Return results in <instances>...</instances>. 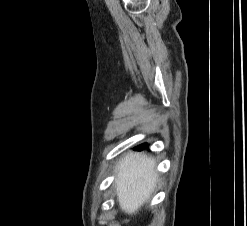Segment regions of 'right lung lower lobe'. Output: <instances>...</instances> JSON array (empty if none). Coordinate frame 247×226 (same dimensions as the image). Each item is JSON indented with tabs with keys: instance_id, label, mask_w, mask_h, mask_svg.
Wrapping results in <instances>:
<instances>
[{
	"instance_id": "obj_1",
	"label": "right lung lower lobe",
	"mask_w": 247,
	"mask_h": 226,
	"mask_svg": "<svg viewBox=\"0 0 247 226\" xmlns=\"http://www.w3.org/2000/svg\"><path fill=\"white\" fill-rule=\"evenodd\" d=\"M146 147H147V144H143V145L137 147L136 149H137V150H141V149H144V148H146Z\"/></svg>"
}]
</instances>
